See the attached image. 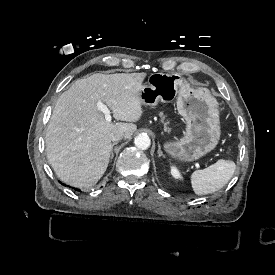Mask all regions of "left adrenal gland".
<instances>
[{
    "label": "left adrenal gland",
    "mask_w": 275,
    "mask_h": 275,
    "mask_svg": "<svg viewBox=\"0 0 275 275\" xmlns=\"http://www.w3.org/2000/svg\"><path fill=\"white\" fill-rule=\"evenodd\" d=\"M157 153L159 154V158H161V157L165 158V156L163 155V152L161 151L159 143H158V151H157Z\"/></svg>",
    "instance_id": "left-adrenal-gland-1"
}]
</instances>
